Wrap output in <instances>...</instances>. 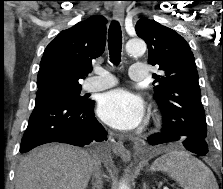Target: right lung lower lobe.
<instances>
[{
    "label": "right lung lower lobe",
    "instance_id": "1",
    "mask_svg": "<svg viewBox=\"0 0 223 189\" xmlns=\"http://www.w3.org/2000/svg\"><path fill=\"white\" fill-rule=\"evenodd\" d=\"M94 104L89 99L80 104L63 98L37 97L20 152L50 142L82 147L93 140H106L107 133L93 113Z\"/></svg>",
    "mask_w": 223,
    "mask_h": 189
}]
</instances>
